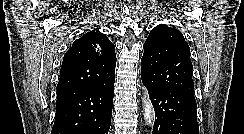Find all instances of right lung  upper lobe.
I'll return each mask as SVG.
<instances>
[{"instance_id":"right-lung-upper-lobe-1","label":"right lung upper lobe","mask_w":244,"mask_h":134,"mask_svg":"<svg viewBox=\"0 0 244 134\" xmlns=\"http://www.w3.org/2000/svg\"><path fill=\"white\" fill-rule=\"evenodd\" d=\"M115 66L114 44L98 30L89 31L64 55L57 93L101 84L115 75Z\"/></svg>"}]
</instances>
